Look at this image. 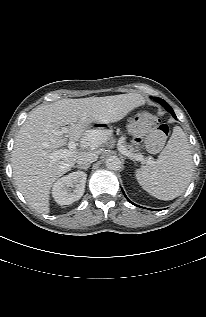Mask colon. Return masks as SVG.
<instances>
[{"label": "colon", "instance_id": "colon-1", "mask_svg": "<svg viewBox=\"0 0 206 317\" xmlns=\"http://www.w3.org/2000/svg\"><path fill=\"white\" fill-rule=\"evenodd\" d=\"M136 123L150 131L146 146L152 151L160 149L168 136L169 127L160 123L155 116L148 112L139 113L136 117Z\"/></svg>", "mask_w": 206, "mask_h": 317}]
</instances>
